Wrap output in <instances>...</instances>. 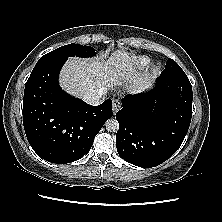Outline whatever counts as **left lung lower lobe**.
Returning a JSON list of instances; mask_svg holds the SVG:
<instances>
[{
    "label": "left lung lower lobe",
    "mask_w": 222,
    "mask_h": 222,
    "mask_svg": "<svg viewBox=\"0 0 222 222\" xmlns=\"http://www.w3.org/2000/svg\"><path fill=\"white\" fill-rule=\"evenodd\" d=\"M188 78L158 77L151 91L128 95L117 112L119 155L139 167H155L181 146L192 117Z\"/></svg>",
    "instance_id": "left-lung-lower-lobe-1"
}]
</instances>
